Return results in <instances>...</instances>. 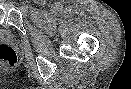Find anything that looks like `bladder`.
Instances as JSON below:
<instances>
[{"label": "bladder", "mask_w": 131, "mask_h": 89, "mask_svg": "<svg viewBox=\"0 0 131 89\" xmlns=\"http://www.w3.org/2000/svg\"><path fill=\"white\" fill-rule=\"evenodd\" d=\"M5 33V29H3L2 27H0V35Z\"/></svg>", "instance_id": "31cf9c89"}]
</instances>
